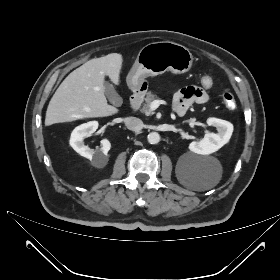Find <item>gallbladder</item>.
<instances>
[{
	"label": "gallbladder",
	"mask_w": 280,
	"mask_h": 280,
	"mask_svg": "<svg viewBox=\"0 0 280 280\" xmlns=\"http://www.w3.org/2000/svg\"><path fill=\"white\" fill-rule=\"evenodd\" d=\"M104 91L110 103L115 106H120L122 104V98L118 95L111 83L105 82Z\"/></svg>",
	"instance_id": "obj_1"
}]
</instances>
